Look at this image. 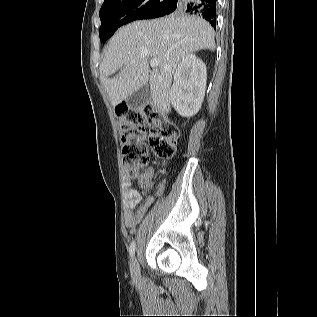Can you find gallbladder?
Instances as JSON below:
<instances>
[{"mask_svg":"<svg viewBox=\"0 0 317 317\" xmlns=\"http://www.w3.org/2000/svg\"><path fill=\"white\" fill-rule=\"evenodd\" d=\"M151 100V91L148 84L142 86L137 91L133 92L126 102L131 109H139L147 105Z\"/></svg>","mask_w":317,"mask_h":317,"instance_id":"1","label":"gallbladder"}]
</instances>
